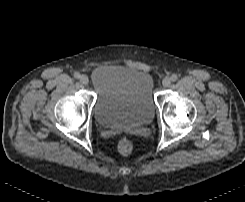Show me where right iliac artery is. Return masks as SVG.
Here are the masks:
<instances>
[{"label": "right iliac artery", "instance_id": "obj_1", "mask_svg": "<svg viewBox=\"0 0 245 202\" xmlns=\"http://www.w3.org/2000/svg\"><path fill=\"white\" fill-rule=\"evenodd\" d=\"M74 77H75L76 79H79V78L81 77V75H80L79 72H75V73H74Z\"/></svg>", "mask_w": 245, "mask_h": 202}]
</instances>
